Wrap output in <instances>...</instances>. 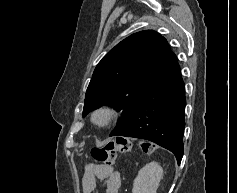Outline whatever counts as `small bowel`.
Wrapping results in <instances>:
<instances>
[{"label":"small bowel","mask_w":237,"mask_h":193,"mask_svg":"<svg viewBox=\"0 0 237 193\" xmlns=\"http://www.w3.org/2000/svg\"><path fill=\"white\" fill-rule=\"evenodd\" d=\"M98 179L104 181L105 193H119L122 187L121 176L114 167L99 165L86 169L82 179L83 193H93Z\"/></svg>","instance_id":"c3829d8e"}]
</instances>
